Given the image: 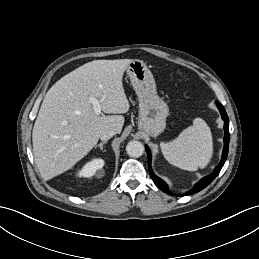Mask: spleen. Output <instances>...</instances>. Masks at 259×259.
<instances>
[{
    "label": "spleen",
    "mask_w": 259,
    "mask_h": 259,
    "mask_svg": "<svg viewBox=\"0 0 259 259\" xmlns=\"http://www.w3.org/2000/svg\"><path fill=\"white\" fill-rule=\"evenodd\" d=\"M162 153L172 165L188 171L205 168L213 154V141L210 128L201 118L184 129L176 139L161 142Z\"/></svg>",
    "instance_id": "obj_1"
}]
</instances>
